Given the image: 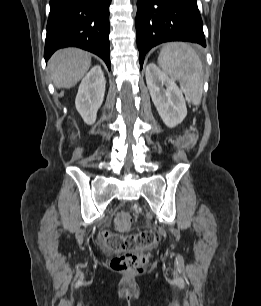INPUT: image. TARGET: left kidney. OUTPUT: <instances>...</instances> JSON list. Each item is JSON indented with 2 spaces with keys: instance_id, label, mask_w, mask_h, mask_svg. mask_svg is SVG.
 I'll list each match as a JSON object with an SVG mask.
<instances>
[{
  "instance_id": "obj_1",
  "label": "left kidney",
  "mask_w": 261,
  "mask_h": 306,
  "mask_svg": "<svg viewBox=\"0 0 261 306\" xmlns=\"http://www.w3.org/2000/svg\"><path fill=\"white\" fill-rule=\"evenodd\" d=\"M145 74L152 101L161 119L167 127L174 128L187 115L186 103L181 90L154 63L146 66Z\"/></svg>"
}]
</instances>
